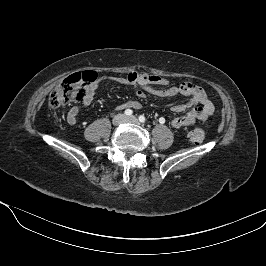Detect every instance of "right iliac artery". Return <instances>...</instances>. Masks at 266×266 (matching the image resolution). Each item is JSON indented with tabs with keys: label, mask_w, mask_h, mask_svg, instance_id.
<instances>
[{
	"label": "right iliac artery",
	"mask_w": 266,
	"mask_h": 266,
	"mask_svg": "<svg viewBox=\"0 0 266 266\" xmlns=\"http://www.w3.org/2000/svg\"><path fill=\"white\" fill-rule=\"evenodd\" d=\"M124 113H125V115H127V116H131L132 113H133V111H132L131 109H126Z\"/></svg>",
	"instance_id": "right-iliac-artery-1"
}]
</instances>
